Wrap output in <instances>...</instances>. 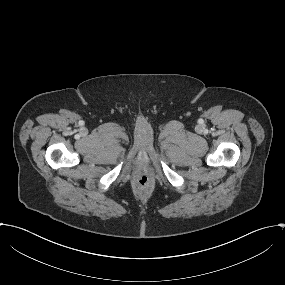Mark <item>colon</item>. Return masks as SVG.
<instances>
[{
    "label": "colon",
    "mask_w": 285,
    "mask_h": 285,
    "mask_svg": "<svg viewBox=\"0 0 285 285\" xmlns=\"http://www.w3.org/2000/svg\"><path fill=\"white\" fill-rule=\"evenodd\" d=\"M136 185L141 190H148L154 185V181L148 173L142 172L136 178Z\"/></svg>",
    "instance_id": "5ec220e1"
}]
</instances>
